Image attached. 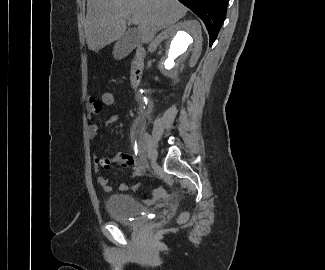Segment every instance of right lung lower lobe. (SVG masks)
<instances>
[{
  "mask_svg": "<svg viewBox=\"0 0 325 270\" xmlns=\"http://www.w3.org/2000/svg\"><path fill=\"white\" fill-rule=\"evenodd\" d=\"M204 22L210 37V46L217 38L225 20L229 0H179Z\"/></svg>",
  "mask_w": 325,
  "mask_h": 270,
  "instance_id": "obj_1",
  "label": "right lung lower lobe"
}]
</instances>
